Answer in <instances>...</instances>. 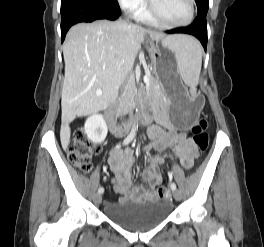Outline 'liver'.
Listing matches in <instances>:
<instances>
[{
    "instance_id": "obj_1",
    "label": "liver",
    "mask_w": 264,
    "mask_h": 247,
    "mask_svg": "<svg viewBox=\"0 0 264 247\" xmlns=\"http://www.w3.org/2000/svg\"><path fill=\"white\" fill-rule=\"evenodd\" d=\"M172 42L168 36L123 21L79 23L68 31L63 45L65 77L62 88L61 144L70 142L69 123L106 109L132 71L145 36ZM97 91L102 93L97 96Z\"/></svg>"
}]
</instances>
